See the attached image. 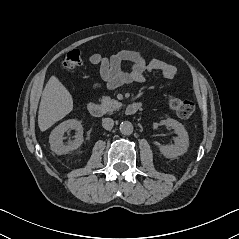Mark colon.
Wrapping results in <instances>:
<instances>
[{
	"instance_id": "colon-1",
	"label": "colon",
	"mask_w": 239,
	"mask_h": 239,
	"mask_svg": "<svg viewBox=\"0 0 239 239\" xmlns=\"http://www.w3.org/2000/svg\"><path fill=\"white\" fill-rule=\"evenodd\" d=\"M82 64V54L78 49L70 51L63 61V67L68 71H72ZM168 102L172 110L182 119H189L194 113V104L189 100L171 96L169 97Z\"/></svg>"
}]
</instances>
